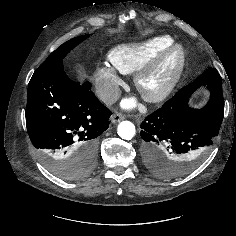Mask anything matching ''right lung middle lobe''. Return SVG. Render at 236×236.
<instances>
[{"mask_svg":"<svg viewBox=\"0 0 236 236\" xmlns=\"http://www.w3.org/2000/svg\"><path fill=\"white\" fill-rule=\"evenodd\" d=\"M87 36L88 35L79 36L62 44L49 55L38 69L63 64L62 59L64 56L77 44L85 40ZM43 160L46 167L53 174L66 180H78L85 177L96 164V161L93 159L75 161L73 159L59 158L53 155L43 156Z\"/></svg>","mask_w":236,"mask_h":236,"instance_id":"obj_1","label":"right lung middle lobe"}]
</instances>
